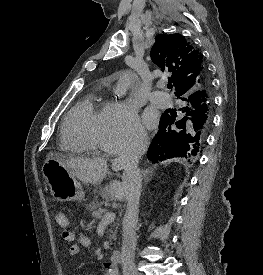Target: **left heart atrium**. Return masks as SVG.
<instances>
[{
  "label": "left heart atrium",
  "mask_w": 263,
  "mask_h": 275,
  "mask_svg": "<svg viewBox=\"0 0 263 275\" xmlns=\"http://www.w3.org/2000/svg\"><path fill=\"white\" fill-rule=\"evenodd\" d=\"M144 123L148 127H153L156 124V116L151 112H146L144 115Z\"/></svg>",
  "instance_id": "left-heart-atrium-1"
}]
</instances>
